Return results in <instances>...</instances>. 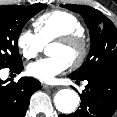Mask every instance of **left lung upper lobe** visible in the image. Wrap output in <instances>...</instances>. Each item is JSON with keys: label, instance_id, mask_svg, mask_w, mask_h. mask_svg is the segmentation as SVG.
<instances>
[{"label": "left lung upper lobe", "instance_id": "1", "mask_svg": "<svg viewBox=\"0 0 117 117\" xmlns=\"http://www.w3.org/2000/svg\"><path fill=\"white\" fill-rule=\"evenodd\" d=\"M83 16L90 31L91 48L88 59L70 75L85 80L108 67L117 66V29L99 10L85 5H61Z\"/></svg>", "mask_w": 117, "mask_h": 117}]
</instances>
